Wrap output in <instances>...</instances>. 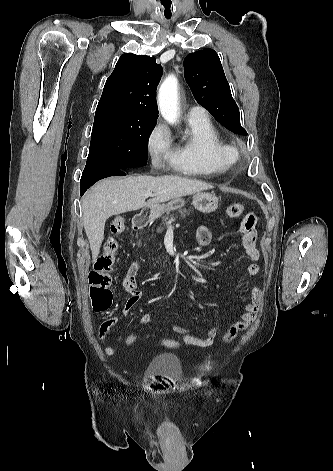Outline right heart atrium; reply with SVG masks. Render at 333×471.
Masks as SVG:
<instances>
[{
	"mask_svg": "<svg viewBox=\"0 0 333 471\" xmlns=\"http://www.w3.org/2000/svg\"><path fill=\"white\" fill-rule=\"evenodd\" d=\"M146 147L154 166L161 167L171 155V138L167 127L157 122L147 136Z\"/></svg>",
	"mask_w": 333,
	"mask_h": 471,
	"instance_id": "right-heart-atrium-1",
	"label": "right heart atrium"
}]
</instances>
